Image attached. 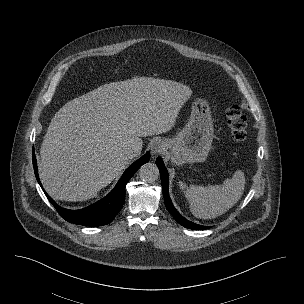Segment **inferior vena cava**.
Wrapping results in <instances>:
<instances>
[{"mask_svg":"<svg viewBox=\"0 0 304 304\" xmlns=\"http://www.w3.org/2000/svg\"><path fill=\"white\" fill-rule=\"evenodd\" d=\"M141 148L137 145H130L126 149V154L129 158L136 157L138 154H140Z\"/></svg>","mask_w":304,"mask_h":304,"instance_id":"inferior-vena-cava-1","label":"inferior vena cava"}]
</instances>
